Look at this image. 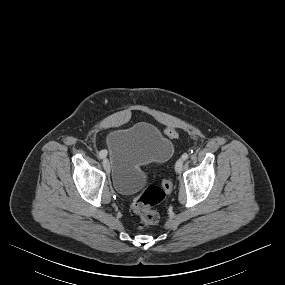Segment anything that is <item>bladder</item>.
<instances>
[{"label":"bladder","instance_id":"1","mask_svg":"<svg viewBox=\"0 0 285 285\" xmlns=\"http://www.w3.org/2000/svg\"><path fill=\"white\" fill-rule=\"evenodd\" d=\"M106 148L112 185L126 196L144 186V166L165 161L173 153L171 142L158 127L148 122L111 131L106 138Z\"/></svg>","mask_w":285,"mask_h":285}]
</instances>
